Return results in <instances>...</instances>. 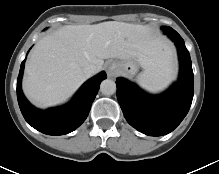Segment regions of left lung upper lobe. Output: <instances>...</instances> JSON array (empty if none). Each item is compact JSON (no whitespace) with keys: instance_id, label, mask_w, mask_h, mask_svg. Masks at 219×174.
Wrapping results in <instances>:
<instances>
[{"instance_id":"5c2ea615","label":"left lung upper lobe","mask_w":219,"mask_h":174,"mask_svg":"<svg viewBox=\"0 0 219 174\" xmlns=\"http://www.w3.org/2000/svg\"><path fill=\"white\" fill-rule=\"evenodd\" d=\"M162 29L164 30L165 34H168L172 31H175L174 29H172L171 27H168V26H163Z\"/></svg>"}]
</instances>
